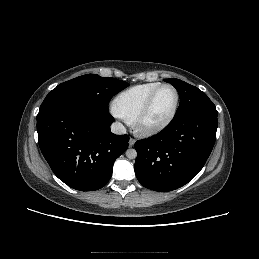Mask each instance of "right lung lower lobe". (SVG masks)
<instances>
[{
  "mask_svg": "<svg viewBox=\"0 0 259 259\" xmlns=\"http://www.w3.org/2000/svg\"><path fill=\"white\" fill-rule=\"evenodd\" d=\"M109 111L79 102L55 104L37 115L38 142L54 174L76 190L94 191L111 178L128 135L110 131Z\"/></svg>",
  "mask_w": 259,
  "mask_h": 259,
  "instance_id": "obj_1",
  "label": "right lung lower lobe"
}]
</instances>
